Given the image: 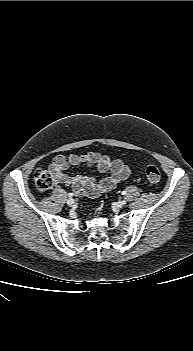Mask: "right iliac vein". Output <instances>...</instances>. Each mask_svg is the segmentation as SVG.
I'll return each mask as SVG.
<instances>
[{
	"instance_id": "obj_1",
	"label": "right iliac vein",
	"mask_w": 193,
	"mask_h": 351,
	"mask_svg": "<svg viewBox=\"0 0 193 351\" xmlns=\"http://www.w3.org/2000/svg\"><path fill=\"white\" fill-rule=\"evenodd\" d=\"M68 206H72L74 204V200L72 198L67 199L66 201Z\"/></svg>"
}]
</instances>
